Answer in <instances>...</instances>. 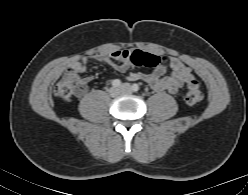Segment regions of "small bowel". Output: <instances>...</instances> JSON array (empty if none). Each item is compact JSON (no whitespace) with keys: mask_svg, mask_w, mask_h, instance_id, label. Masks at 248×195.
<instances>
[{"mask_svg":"<svg viewBox=\"0 0 248 195\" xmlns=\"http://www.w3.org/2000/svg\"><path fill=\"white\" fill-rule=\"evenodd\" d=\"M127 58L128 52L126 51L99 53L83 58L72 64L67 70V75L83 74L86 71L88 62L94 60L106 64L119 72H128V80H142L157 92L168 91L174 94L185 84H188L195 79L191 69L178 58H169L166 63L158 65L151 72L129 71L130 63ZM167 69L171 70L169 75L165 74ZM90 79L91 77H86L84 81L87 82Z\"/></svg>","mask_w":248,"mask_h":195,"instance_id":"1","label":"small bowel"}]
</instances>
